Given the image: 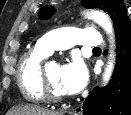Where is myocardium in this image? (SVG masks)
<instances>
[{"label": "myocardium", "instance_id": "1", "mask_svg": "<svg viewBox=\"0 0 131 115\" xmlns=\"http://www.w3.org/2000/svg\"><path fill=\"white\" fill-rule=\"evenodd\" d=\"M40 88L43 94V97L47 101L51 102H61L65 100V97L62 95L54 94L48 84V80L46 77V68L42 67L40 71Z\"/></svg>", "mask_w": 131, "mask_h": 115}]
</instances>
